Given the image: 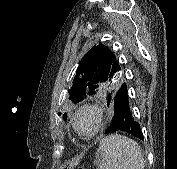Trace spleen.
Here are the masks:
<instances>
[{"label": "spleen", "mask_w": 177, "mask_h": 169, "mask_svg": "<svg viewBox=\"0 0 177 169\" xmlns=\"http://www.w3.org/2000/svg\"><path fill=\"white\" fill-rule=\"evenodd\" d=\"M96 164L97 169H144V158L136 141L114 134L100 141Z\"/></svg>", "instance_id": "obj_1"}]
</instances>
